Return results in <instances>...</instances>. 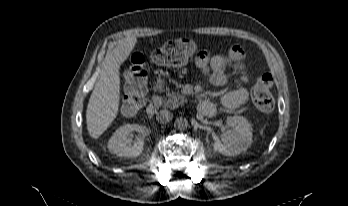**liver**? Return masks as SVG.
I'll return each mask as SVG.
<instances>
[{"instance_id":"6515ba94","label":"liver","mask_w":348,"mask_h":206,"mask_svg":"<svg viewBox=\"0 0 348 206\" xmlns=\"http://www.w3.org/2000/svg\"><path fill=\"white\" fill-rule=\"evenodd\" d=\"M137 39L121 40L103 62L100 78L90 96L87 110V130L92 138L100 137L117 116L120 102L119 68L127 60Z\"/></svg>"}]
</instances>
